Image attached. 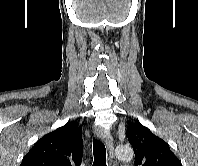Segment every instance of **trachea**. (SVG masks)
<instances>
[{
	"mask_svg": "<svg viewBox=\"0 0 198 166\" xmlns=\"http://www.w3.org/2000/svg\"><path fill=\"white\" fill-rule=\"evenodd\" d=\"M93 166H106V148L103 142L94 139L93 141Z\"/></svg>",
	"mask_w": 198,
	"mask_h": 166,
	"instance_id": "3493384b",
	"label": "trachea"
}]
</instances>
